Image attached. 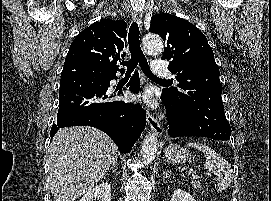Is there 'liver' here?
Masks as SVG:
<instances>
[{"label":"liver","instance_id":"liver-1","mask_svg":"<svg viewBox=\"0 0 271 201\" xmlns=\"http://www.w3.org/2000/svg\"><path fill=\"white\" fill-rule=\"evenodd\" d=\"M48 183L54 201H74L97 185L117 159V146L88 126L60 129L49 147Z\"/></svg>","mask_w":271,"mask_h":201}]
</instances>
